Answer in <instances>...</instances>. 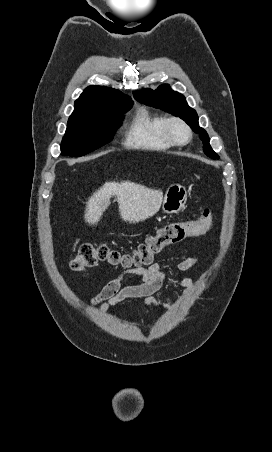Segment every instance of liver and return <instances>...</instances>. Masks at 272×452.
Instances as JSON below:
<instances>
[{
    "label": "liver",
    "instance_id": "1",
    "mask_svg": "<svg viewBox=\"0 0 272 452\" xmlns=\"http://www.w3.org/2000/svg\"><path fill=\"white\" fill-rule=\"evenodd\" d=\"M115 197L119 213L124 221L138 223L155 215L163 202V192L134 182H106L89 197L86 203L85 221L97 224L108 208L110 198Z\"/></svg>",
    "mask_w": 272,
    "mask_h": 452
}]
</instances>
